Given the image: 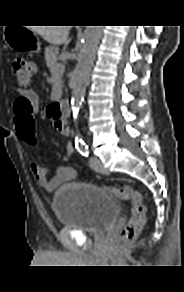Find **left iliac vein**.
<instances>
[{"mask_svg": "<svg viewBox=\"0 0 184 292\" xmlns=\"http://www.w3.org/2000/svg\"><path fill=\"white\" fill-rule=\"evenodd\" d=\"M90 167L101 174H108V170L103 166L102 162L97 157H91L89 159Z\"/></svg>", "mask_w": 184, "mask_h": 292, "instance_id": "left-iliac-vein-1", "label": "left iliac vein"}]
</instances>
